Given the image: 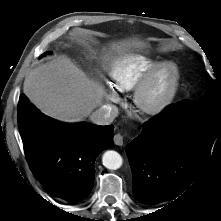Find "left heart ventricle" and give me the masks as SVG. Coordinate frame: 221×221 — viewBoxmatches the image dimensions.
<instances>
[{"mask_svg": "<svg viewBox=\"0 0 221 221\" xmlns=\"http://www.w3.org/2000/svg\"><path fill=\"white\" fill-rule=\"evenodd\" d=\"M171 81V73L169 70L161 71L156 79L154 84L151 97L158 98L160 97L168 88Z\"/></svg>", "mask_w": 221, "mask_h": 221, "instance_id": "obj_1", "label": "left heart ventricle"}]
</instances>
